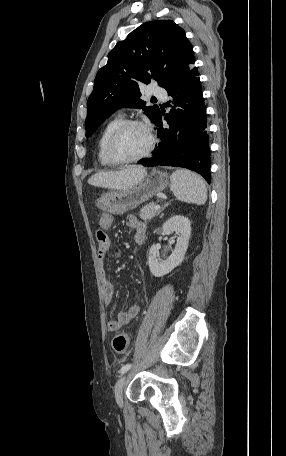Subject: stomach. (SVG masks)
<instances>
[{"label":"stomach","mask_w":286,"mask_h":456,"mask_svg":"<svg viewBox=\"0 0 286 456\" xmlns=\"http://www.w3.org/2000/svg\"><path fill=\"white\" fill-rule=\"evenodd\" d=\"M168 183L167 173L154 170L143 181L129 189L103 194L97 199L96 206L108 213L121 215L162 192Z\"/></svg>","instance_id":"obj_1"}]
</instances>
